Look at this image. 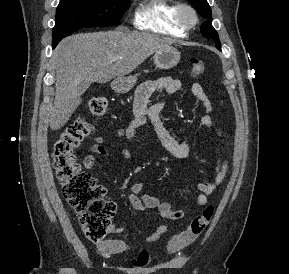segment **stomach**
<instances>
[{"label": "stomach", "mask_w": 289, "mask_h": 274, "mask_svg": "<svg viewBox=\"0 0 289 274\" xmlns=\"http://www.w3.org/2000/svg\"><path fill=\"white\" fill-rule=\"evenodd\" d=\"M154 64L159 69H170L180 61V52L173 47H167L154 55ZM136 83L135 76L117 77L112 83V89L117 93L130 91Z\"/></svg>", "instance_id": "1"}]
</instances>
